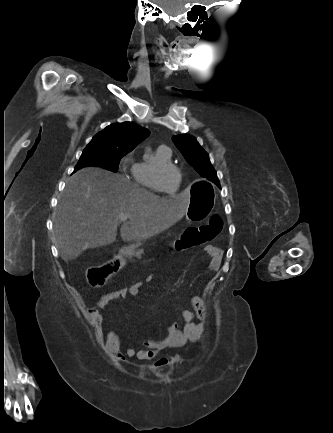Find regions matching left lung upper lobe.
<instances>
[{
    "mask_svg": "<svg viewBox=\"0 0 333 433\" xmlns=\"http://www.w3.org/2000/svg\"><path fill=\"white\" fill-rule=\"evenodd\" d=\"M172 140L187 162L192 165L201 176L219 185V180L210 163L208 154L194 137L189 135H177L174 136Z\"/></svg>",
    "mask_w": 333,
    "mask_h": 433,
    "instance_id": "left-lung-upper-lobe-1",
    "label": "left lung upper lobe"
}]
</instances>
